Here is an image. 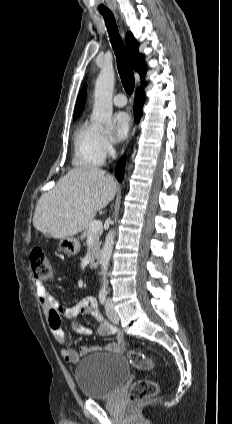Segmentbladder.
<instances>
[{
  "label": "bladder",
  "instance_id": "1",
  "mask_svg": "<svg viewBox=\"0 0 232 424\" xmlns=\"http://www.w3.org/2000/svg\"><path fill=\"white\" fill-rule=\"evenodd\" d=\"M130 376V365L125 358L104 353L88 355L75 370L78 390L86 399L111 397Z\"/></svg>",
  "mask_w": 232,
  "mask_h": 424
}]
</instances>
